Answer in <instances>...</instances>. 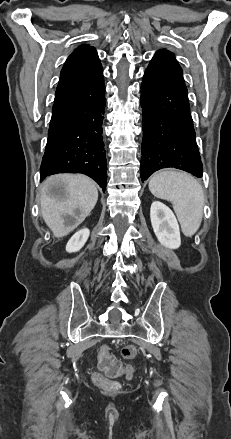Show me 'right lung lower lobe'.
<instances>
[{"label": "right lung lower lobe", "instance_id": "1", "mask_svg": "<svg viewBox=\"0 0 231 439\" xmlns=\"http://www.w3.org/2000/svg\"><path fill=\"white\" fill-rule=\"evenodd\" d=\"M104 108L103 72L82 87L55 98L40 180L56 173H83L106 190Z\"/></svg>", "mask_w": 231, "mask_h": 439}]
</instances>
